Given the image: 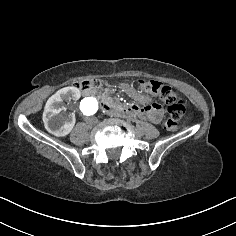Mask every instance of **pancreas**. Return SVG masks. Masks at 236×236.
I'll return each instance as SVG.
<instances>
[{"label":"pancreas","instance_id":"1","mask_svg":"<svg viewBox=\"0 0 236 236\" xmlns=\"http://www.w3.org/2000/svg\"><path fill=\"white\" fill-rule=\"evenodd\" d=\"M109 94H110L109 90L105 89V90L102 92V94H101L102 99H103V100L108 99V98H109Z\"/></svg>","mask_w":236,"mask_h":236}]
</instances>
